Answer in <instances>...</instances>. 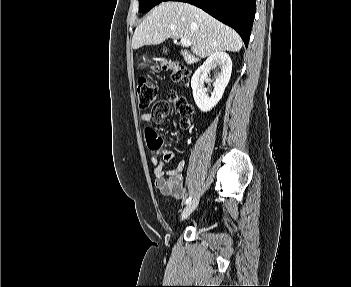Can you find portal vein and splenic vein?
Instances as JSON below:
<instances>
[{
	"label": "portal vein and splenic vein",
	"instance_id": "18ae733b",
	"mask_svg": "<svg viewBox=\"0 0 351 287\" xmlns=\"http://www.w3.org/2000/svg\"><path fill=\"white\" fill-rule=\"evenodd\" d=\"M180 43H181L182 45H185V46H191V45H192V43H191L188 39H186V38H181V39H180Z\"/></svg>",
	"mask_w": 351,
	"mask_h": 287
}]
</instances>
